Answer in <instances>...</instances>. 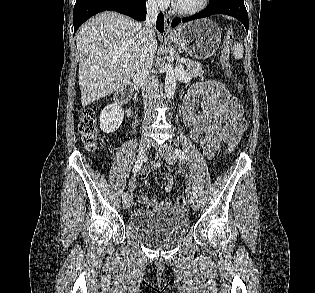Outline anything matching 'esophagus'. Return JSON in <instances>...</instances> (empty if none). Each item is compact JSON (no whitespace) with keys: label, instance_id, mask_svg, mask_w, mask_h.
Masks as SVG:
<instances>
[{"label":"esophagus","instance_id":"1","mask_svg":"<svg viewBox=\"0 0 315 293\" xmlns=\"http://www.w3.org/2000/svg\"><path fill=\"white\" fill-rule=\"evenodd\" d=\"M164 22H165V32L166 33H171L172 32L171 18L168 15H165Z\"/></svg>","mask_w":315,"mask_h":293}]
</instances>
